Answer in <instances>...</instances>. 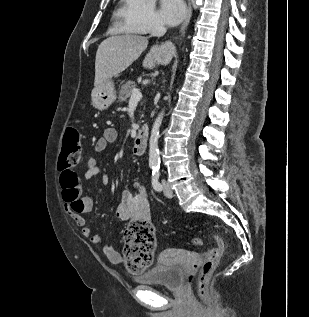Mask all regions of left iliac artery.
Listing matches in <instances>:
<instances>
[{
	"mask_svg": "<svg viewBox=\"0 0 309 317\" xmlns=\"http://www.w3.org/2000/svg\"><path fill=\"white\" fill-rule=\"evenodd\" d=\"M159 167H155L152 173V186L156 191H161L162 190V185L159 182Z\"/></svg>",
	"mask_w": 309,
	"mask_h": 317,
	"instance_id": "44dca946",
	"label": "left iliac artery"
}]
</instances>
